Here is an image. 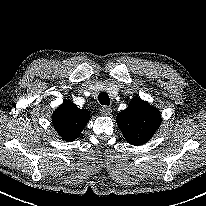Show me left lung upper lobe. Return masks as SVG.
<instances>
[{
  "label": "left lung upper lobe",
  "mask_w": 206,
  "mask_h": 206,
  "mask_svg": "<svg viewBox=\"0 0 206 206\" xmlns=\"http://www.w3.org/2000/svg\"><path fill=\"white\" fill-rule=\"evenodd\" d=\"M116 121L126 141L137 146L153 137L160 126L161 114L147 101L136 98L117 115Z\"/></svg>",
  "instance_id": "left-lung-upper-lobe-1"
}]
</instances>
